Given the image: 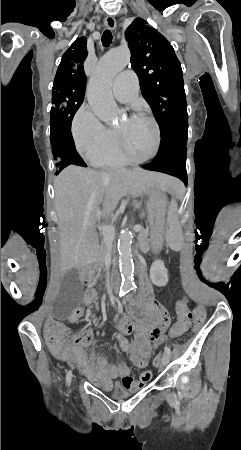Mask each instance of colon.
<instances>
[{"label": "colon", "instance_id": "colon-1", "mask_svg": "<svg viewBox=\"0 0 241 450\" xmlns=\"http://www.w3.org/2000/svg\"><path fill=\"white\" fill-rule=\"evenodd\" d=\"M84 311L82 308H76L73 310V312L71 313V317H70V322L71 323H78L81 321V316L83 315ZM176 313L180 315L179 321H173L172 325L169 327V330L171 332H174L175 330H184L185 326H189L190 325V321L192 320V314H193V318L195 321V329L199 328L203 323H204V314L205 311L203 309V307L201 305H196L194 307V312H190L187 303L182 300L179 301L178 305L176 306ZM109 337L111 339H114L116 337V334L114 332H111L109 334ZM115 341L117 342V345L119 347H122L124 345V341L122 340V338L120 336H117L115 338ZM124 351L126 353H129L131 351V348L129 346H126L124 348ZM163 351H158V353L155 355L154 357V362H159V360L161 359V356H163ZM130 364L132 366H140L142 364V359L140 357H132L130 359ZM156 365V364H155Z\"/></svg>", "mask_w": 241, "mask_h": 450}]
</instances>
